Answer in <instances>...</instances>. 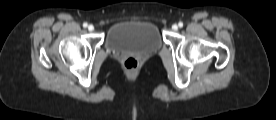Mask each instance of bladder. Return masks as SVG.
<instances>
[{
  "label": "bladder",
  "instance_id": "1",
  "mask_svg": "<svg viewBox=\"0 0 276 120\" xmlns=\"http://www.w3.org/2000/svg\"><path fill=\"white\" fill-rule=\"evenodd\" d=\"M105 46L110 51L148 53L162 46V38L152 22L121 21L109 28Z\"/></svg>",
  "mask_w": 276,
  "mask_h": 120
}]
</instances>
